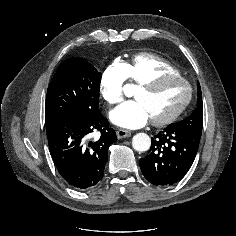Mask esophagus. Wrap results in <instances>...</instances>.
<instances>
[{"label": "esophagus", "mask_w": 236, "mask_h": 236, "mask_svg": "<svg viewBox=\"0 0 236 236\" xmlns=\"http://www.w3.org/2000/svg\"><path fill=\"white\" fill-rule=\"evenodd\" d=\"M116 134H117L118 139H123V138L129 137L131 135V131L126 130V129H118Z\"/></svg>", "instance_id": "34e87169"}]
</instances>
